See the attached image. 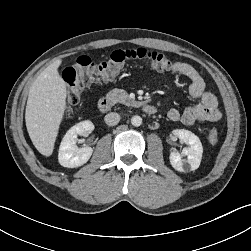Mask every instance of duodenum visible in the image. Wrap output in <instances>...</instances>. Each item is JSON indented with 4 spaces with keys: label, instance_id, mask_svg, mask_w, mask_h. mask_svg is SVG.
I'll return each instance as SVG.
<instances>
[{
    "label": "duodenum",
    "instance_id": "duodenum-1",
    "mask_svg": "<svg viewBox=\"0 0 251 251\" xmlns=\"http://www.w3.org/2000/svg\"><path fill=\"white\" fill-rule=\"evenodd\" d=\"M139 106L143 110V112H145L146 114L153 115L157 112V108L154 105L140 102ZM98 107H99L100 111L108 112L112 109L113 103L109 98L102 97L98 101Z\"/></svg>",
    "mask_w": 251,
    "mask_h": 251
}]
</instances>
